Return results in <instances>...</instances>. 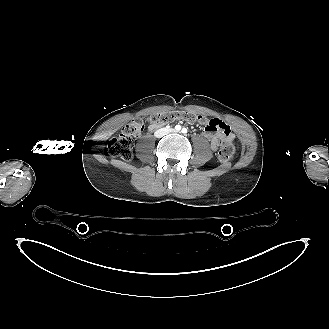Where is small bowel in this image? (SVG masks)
Wrapping results in <instances>:
<instances>
[{"label":"small bowel","mask_w":329,"mask_h":329,"mask_svg":"<svg viewBox=\"0 0 329 329\" xmlns=\"http://www.w3.org/2000/svg\"><path fill=\"white\" fill-rule=\"evenodd\" d=\"M218 119H211L209 121V126L211 128H215V130L210 129L209 127H205L204 129V136L209 139L211 147L213 150H217L221 141L224 140H232L234 138V134L232 133L230 127L226 125L221 120ZM157 126H149V130H155Z\"/></svg>","instance_id":"c3829d8e"}]
</instances>
